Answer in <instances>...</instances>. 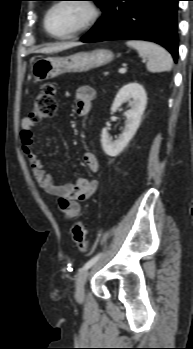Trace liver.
Here are the masks:
<instances>
[{"instance_id": "liver-1", "label": "liver", "mask_w": 193, "mask_h": 349, "mask_svg": "<svg viewBox=\"0 0 193 349\" xmlns=\"http://www.w3.org/2000/svg\"><path fill=\"white\" fill-rule=\"evenodd\" d=\"M80 45V43H75V42H69V43H58V44H54V45H50L47 47H44L40 50H38L39 53H56V52H60L66 49H70L72 47H76Z\"/></svg>"}]
</instances>
